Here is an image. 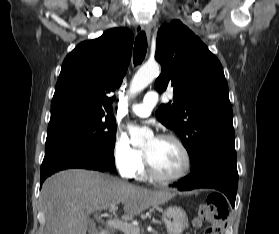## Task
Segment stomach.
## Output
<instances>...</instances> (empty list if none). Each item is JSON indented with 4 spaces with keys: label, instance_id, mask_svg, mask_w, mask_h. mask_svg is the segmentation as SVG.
I'll return each instance as SVG.
<instances>
[{
    "label": "stomach",
    "instance_id": "stomach-1",
    "mask_svg": "<svg viewBox=\"0 0 279 234\" xmlns=\"http://www.w3.org/2000/svg\"><path fill=\"white\" fill-rule=\"evenodd\" d=\"M163 222L169 234H181L188 223L186 212L177 206L163 211Z\"/></svg>",
    "mask_w": 279,
    "mask_h": 234
}]
</instances>
